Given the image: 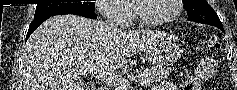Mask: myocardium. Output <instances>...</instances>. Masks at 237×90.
<instances>
[{
  "mask_svg": "<svg viewBox=\"0 0 237 90\" xmlns=\"http://www.w3.org/2000/svg\"><path fill=\"white\" fill-rule=\"evenodd\" d=\"M138 1H147V0H138ZM129 2L132 11V16L135 21L134 28H156L165 23L174 21L179 16L182 10V5L180 3H185V0H171L170 3L172 5V8L170 13L155 20H147L143 18L139 14L138 8L136 6V1H129Z\"/></svg>",
  "mask_w": 237,
  "mask_h": 90,
  "instance_id": "myocardium-1",
  "label": "myocardium"
}]
</instances>
